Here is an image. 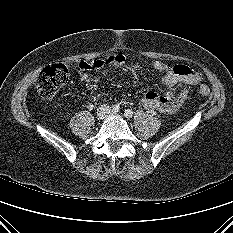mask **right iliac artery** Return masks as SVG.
<instances>
[{
    "instance_id": "right-iliac-artery-1",
    "label": "right iliac artery",
    "mask_w": 233,
    "mask_h": 233,
    "mask_svg": "<svg viewBox=\"0 0 233 233\" xmlns=\"http://www.w3.org/2000/svg\"><path fill=\"white\" fill-rule=\"evenodd\" d=\"M119 110H120L119 105L115 104V105L112 106V112L117 113V112H119Z\"/></svg>"
}]
</instances>
